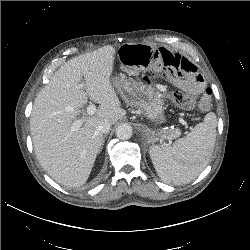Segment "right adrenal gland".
Instances as JSON below:
<instances>
[{
	"mask_svg": "<svg viewBox=\"0 0 250 250\" xmlns=\"http://www.w3.org/2000/svg\"><path fill=\"white\" fill-rule=\"evenodd\" d=\"M104 142H105V136H104V138H103V142H102V145L104 144Z\"/></svg>",
	"mask_w": 250,
	"mask_h": 250,
	"instance_id": "1",
	"label": "right adrenal gland"
}]
</instances>
